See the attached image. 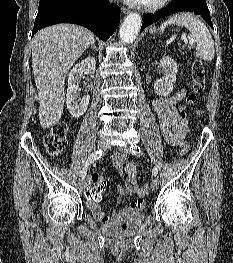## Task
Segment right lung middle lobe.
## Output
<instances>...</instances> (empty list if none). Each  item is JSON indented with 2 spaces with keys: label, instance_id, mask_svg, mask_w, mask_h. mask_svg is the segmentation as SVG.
I'll return each mask as SVG.
<instances>
[{
  "label": "right lung middle lobe",
  "instance_id": "1",
  "mask_svg": "<svg viewBox=\"0 0 233 263\" xmlns=\"http://www.w3.org/2000/svg\"><path fill=\"white\" fill-rule=\"evenodd\" d=\"M77 0H40L38 12H42L56 5H73Z\"/></svg>",
  "mask_w": 233,
  "mask_h": 263
}]
</instances>
